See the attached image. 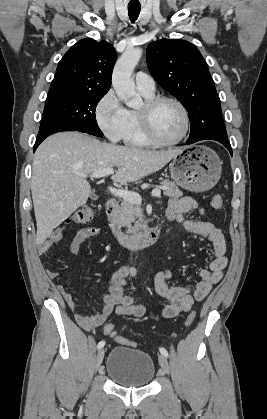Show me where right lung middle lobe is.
Instances as JSON below:
<instances>
[{
	"label": "right lung middle lobe",
	"instance_id": "1",
	"mask_svg": "<svg viewBox=\"0 0 267 419\" xmlns=\"http://www.w3.org/2000/svg\"><path fill=\"white\" fill-rule=\"evenodd\" d=\"M106 93L55 92L48 93L43 119H49L80 132L103 136L95 117L98 102Z\"/></svg>",
	"mask_w": 267,
	"mask_h": 419
}]
</instances>
